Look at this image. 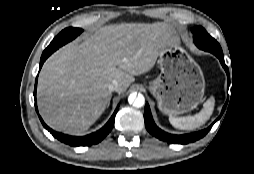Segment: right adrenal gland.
<instances>
[{
  "label": "right adrenal gland",
  "instance_id": "2a0ac1e0",
  "mask_svg": "<svg viewBox=\"0 0 254 174\" xmlns=\"http://www.w3.org/2000/svg\"><path fill=\"white\" fill-rule=\"evenodd\" d=\"M110 100H111V96L109 97L108 104H107V108H108L109 105H110Z\"/></svg>",
  "mask_w": 254,
  "mask_h": 174
}]
</instances>
